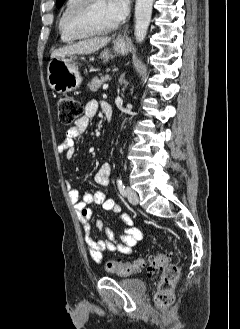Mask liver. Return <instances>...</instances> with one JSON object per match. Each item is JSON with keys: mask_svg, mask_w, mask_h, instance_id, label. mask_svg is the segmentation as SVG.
<instances>
[{"mask_svg": "<svg viewBox=\"0 0 240 329\" xmlns=\"http://www.w3.org/2000/svg\"><path fill=\"white\" fill-rule=\"evenodd\" d=\"M110 40L111 39L109 37L92 38V39L80 41L72 45L60 47L58 49H55L51 53V58L63 57V56L74 55V54H85V55L90 54L107 45L110 42Z\"/></svg>", "mask_w": 240, "mask_h": 329, "instance_id": "liver-1", "label": "liver"}]
</instances>
